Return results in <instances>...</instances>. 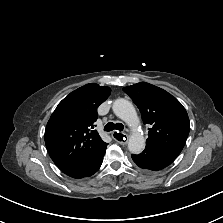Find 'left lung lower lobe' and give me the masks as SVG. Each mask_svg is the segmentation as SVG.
Here are the masks:
<instances>
[{
  "mask_svg": "<svg viewBox=\"0 0 223 223\" xmlns=\"http://www.w3.org/2000/svg\"><path fill=\"white\" fill-rule=\"evenodd\" d=\"M178 154L171 151L146 145L145 150L138 154L132 155L133 161L138 167L145 171H159L170 165Z\"/></svg>",
  "mask_w": 223,
  "mask_h": 223,
  "instance_id": "left-lung-lower-lobe-1",
  "label": "left lung lower lobe"
}]
</instances>
